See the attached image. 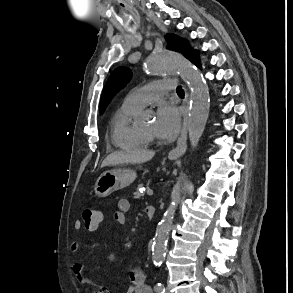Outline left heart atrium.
<instances>
[{
  "label": "left heart atrium",
  "instance_id": "obj_1",
  "mask_svg": "<svg viewBox=\"0 0 293 293\" xmlns=\"http://www.w3.org/2000/svg\"><path fill=\"white\" fill-rule=\"evenodd\" d=\"M181 110L174 104L159 107L154 123L155 134L161 138L174 137L180 128Z\"/></svg>",
  "mask_w": 293,
  "mask_h": 293
}]
</instances>
